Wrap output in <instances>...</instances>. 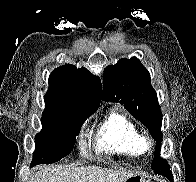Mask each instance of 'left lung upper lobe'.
<instances>
[{
    "instance_id": "obj_1",
    "label": "left lung upper lobe",
    "mask_w": 196,
    "mask_h": 182,
    "mask_svg": "<svg viewBox=\"0 0 196 182\" xmlns=\"http://www.w3.org/2000/svg\"><path fill=\"white\" fill-rule=\"evenodd\" d=\"M103 100L120 102L142 124L147 126L156 141V157L152 169L156 174L173 182L172 172L166 160L160 158L162 141V112L150 74L136 58L120 59L117 64L104 69Z\"/></svg>"
}]
</instances>
